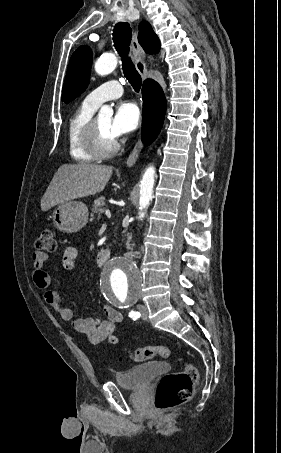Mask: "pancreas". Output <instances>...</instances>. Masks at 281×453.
<instances>
[{"label": "pancreas", "instance_id": "cf45deb5", "mask_svg": "<svg viewBox=\"0 0 281 453\" xmlns=\"http://www.w3.org/2000/svg\"><path fill=\"white\" fill-rule=\"evenodd\" d=\"M105 198L104 196H99V198H96L92 204V210H91V216H94V214H98V218H101V212H104V202Z\"/></svg>", "mask_w": 281, "mask_h": 453}]
</instances>
